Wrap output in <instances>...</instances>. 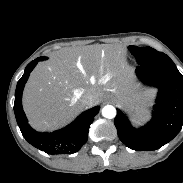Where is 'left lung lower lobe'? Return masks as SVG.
<instances>
[{
    "label": "left lung lower lobe",
    "mask_w": 183,
    "mask_h": 183,
    "mask_svg": "<svg viewBox=\"0 0 183 183\" xmlns=\"http://www.w3.org/2000/svg\"><path fill=\"white\" fill-rule=\"evenodd\" d=\"M137 77L157 87L152 119L141 128H134L127 116L117 109L114 124L120 140L136 151H153L171 141L183 125V76L172 60L139 65Z\"/></svg>",
    "instance_id": "0a47b994"
}]
</instances>
